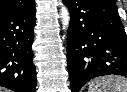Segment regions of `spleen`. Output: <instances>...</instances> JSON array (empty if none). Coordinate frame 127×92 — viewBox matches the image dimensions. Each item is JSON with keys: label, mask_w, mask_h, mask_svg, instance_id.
<instances>
[{"label": "spleen", "mask_w": 127, "mask_h": 92, "mask_svg": "<svg viewBox=\"0 0 127 92\" xmlns=\"http://www.w3.org/2000/svg\"><path fill=\"white\" fill-rule=\"evenodd\" d=\"M88 92H127V79L121 76H106L93 80Z\"/></svg>", "instance_id": "spleen-1"}]
</instances>
